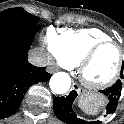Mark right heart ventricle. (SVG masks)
Returning a JSON list of instances; mask_svg holds the SVG:
<instances>
[{"label": "right heart ventricle", "mask_w": 124, "mask_h": 124, "mask_svg": "<svg viewBox=\"0 0 124 124\" xmlns=\"http://www.w3.org/2000/svg\"><path fill=\"white\" fill-rule=\"evenodd\" d=\"M60 50L71 66L78 65L82 57L97 43L111 40V37L99 28L60 29Z\"/></svg>", "instance_id": "obj_1"}]
</instances>
